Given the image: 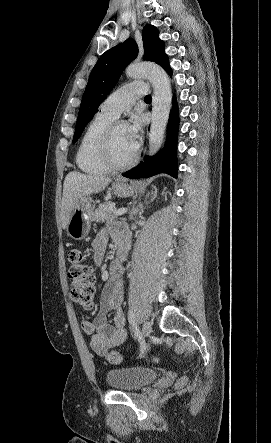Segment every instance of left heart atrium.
<instances>
[{
    "label": "left heart atrium",
    "instance_id": "39dd6f15",
    "mask_svg": "<svg viewBox=\"0 0 271 443\" xmlns=\"http://www.w3.org/2000/svg\"><path fill=\"white\" fill-rule=\"evenodd\" d=\"M142 120L139 116H134L131 122L126 125L129 140L135 150H137L142 138Z\"/></svg>",
    "mask_w": 271,
    "mask_h": 443
}]
</instances>
